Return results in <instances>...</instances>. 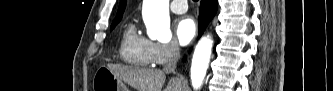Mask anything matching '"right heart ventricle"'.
Wrapping results in <instances>:
<instances>
[{"label":"right heart ventricle","instance_id":"1","mask_svg":"<svg viewBox=\"0 0 333 91\" xmlns=\"http://www.w3.org/2000/svg\"><path fill=\"white\" fill-rule=\"evenodd\" d=\"M120 55L124 62L148 67L152 64L150 56V41L137 32L133 23H128L121 34Z\"/></svg>","mask_w":333,"mask_h":91}]
</instances>
